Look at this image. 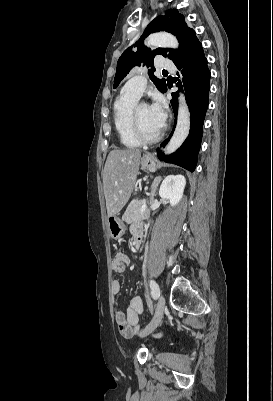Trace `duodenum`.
<instances>
[{
  "instance_id": "410a0bca",
  "label": "duodenum",
  "mask_w": 273,
  "mask_h": 401,
  "mask_svg": "<svg viewBox=\"0 0 273 401\" xmlns=\"http://www.w3.org/2000/svg\"><path fill=\"white\" fill-rule=\"evenodd\" d=\"M141 243H142V237L141 236L136 237L134 241L135 246L139 247Z\"/></svg>"
}]
</instances>
